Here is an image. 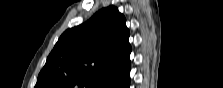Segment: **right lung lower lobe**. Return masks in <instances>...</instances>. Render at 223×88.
<instances>
[{
  "mask_svg": "<svg viewBox=\"0 0 223 88\" xmlns=\"http://www.w3.org/2000/svg\"><path fill=\"white\" fill-rule=\"evenodd\" d=\"M130 80L127 81L124 85H122L120 88H129Z\"/></svg>",
  "mask_w": 223,
  "mask_h": 88,
  "instance_id": "98d812e1",
  "label": "right lung lower lobe"
}]
</instances>
